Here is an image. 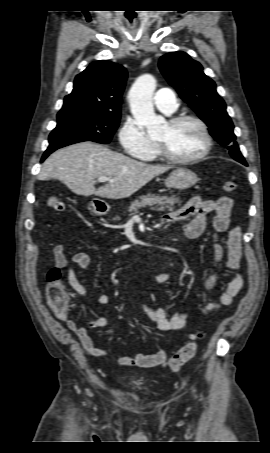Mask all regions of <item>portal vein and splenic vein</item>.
<instances>
[{
    "mask_svg": "<svg viewBox=\"0 0 270 453\" xmlns=\"http://www.w3.org/2000/svg\"><path fill=\"white\" fill-rule=\"evenodd\" d=\"M98 181H99V182H114L113 179L108 178V177H105V176L99 177V178H98Z\"/></svg>",
    "mask_w": 270,
    "mask_h": 453,
    "instance_id": "1",
    "label": "portal vein and splenic vein"
}]
</instances>
